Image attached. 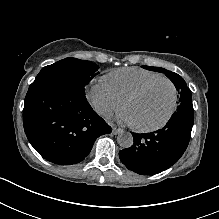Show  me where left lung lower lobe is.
Segmentation results:
<instances>
[{"mask_svg": "<svg viewBox=\"0 0 219 219\" xmlns=\"http://www.w3.org/2000/svg\"><path fill=\"white\" fill-rule=\"evenodd\" d=\"M194 115H173L167 124L151 133H133L134 144L119 152L121 162L140 175H153L175 164L185 152Z\"/></svg>", "mask_w": 219, "mask_h": 219, "instance_id": "left-lung-lower-lobe-1", "label": "left lung lower lobe"}]
</instances>
